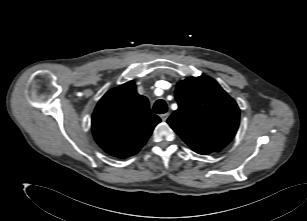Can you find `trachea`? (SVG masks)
<instances>
[{
	"instance_id": "obj_1",
	"label": "trachea",
	"mask_w": 307,
	"mask_h": 221,
	"mask_svg": "<svg viewBox=\"0 0 307 221\" xmlns=\"http://www.w3.org/2000/svg\"><path fill=\"white\" fill-rule=\"evenodd\" d=\"M153 111L156 114H164L167 112V105L166 102L163 99H159L155 102L153 106Z\"/></svg>"
}]
</instances>
